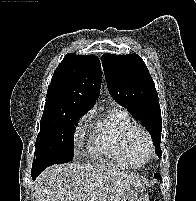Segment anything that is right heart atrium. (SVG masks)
Segmentation results:
<instances>
[{"mask_svg": "<svg viewBox=\"0 0 196 201\" xmlns=\"http://www.w3.org/2000/svg\"><path fill=\"white\" fill-rule=\"evenodd\" d=\"M91 116L90 113L85 114L82 119L80 120L79 126L76 131V140L78 141L80 139V136L82 135V127L81 125L87 121V119Z\"/></svg>", "mask_w": 196, "mask_h": 201, "instance_id": "obj_1", "label": "right heart atrium"}]
</instances>
